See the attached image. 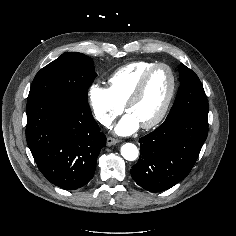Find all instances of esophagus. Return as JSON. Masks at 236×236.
Here are the masks:
<instances>
[{"label": "esophagus", "instance_id": "esophagus-1", "mask_svg": "<svg viewBox=\"0 0 236 236\" xmlns=\"http://www.w3.org/2000/svg\"><path fill=\"white\" fill-rule=\"evenodd\" d=\"M119 142L118 139L116 138H113V137H108L107 140H106V143L108 146H111V145H115Z\"/></svg>", "mask_w": 236, "mask_h": 236}]
</instances>
